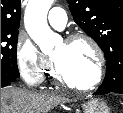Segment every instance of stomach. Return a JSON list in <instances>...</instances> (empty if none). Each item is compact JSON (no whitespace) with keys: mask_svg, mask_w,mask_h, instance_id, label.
<instances>
[{"mask_svg":"<svg viewBox=\"0 0 123 113\" xmlns=\"http://www.w3.org/2000/svg\"><path fill=\"white\" fill-rule=\"evenodd\" d=\"M83 113H109L108 105L100 99H90L83 105Z\"/></svg>","mask_w":123,"mask_h":113,"instance_id":"stomach-1","label":"stomach"}]
</instances>
